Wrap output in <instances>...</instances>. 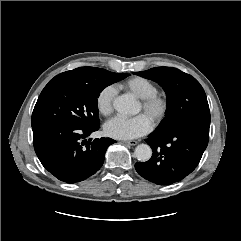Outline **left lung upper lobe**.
Returning <instances> with one entry per match:
<instances>
[{"instance_id": "left-lung-upper-lobe-1", "label": "left lung upper lobe", "mask_w": 241, "mask_h": 241, "mask_svg": "<svg viewBox=\"0 0 241 241\" xmlns=\"http://www.w3.org/2000/svg\"><path fill=\"white\" fill-rule=\"evenodd\" d=\"M134 74L157 82L167 95V111L157 130L166 132L198 118H210L204 89L191 75L172 67H155Z\"/></svg>"}]
</instances>
